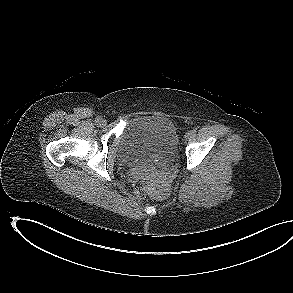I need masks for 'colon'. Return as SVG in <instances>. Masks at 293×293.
Instances as JSON below:
<instances>
[{
  "label": "colon",
  "instance_id": "1",
  "mask_svg": "<svg viewBox=\"0 0 293 293\" xmlns=\"http://www.w3.org/2000/svg\"><path fill=\"white\" fill-rule=\"evenodd\" d=\"M134 192L138 197H144L149 191L152 190L150 179L143 174H138L133 180Z\"/></svg>",
  "mask_w": 293,
  "mask_h": 293
}]
</instances>
